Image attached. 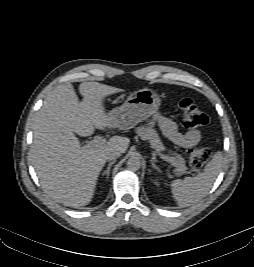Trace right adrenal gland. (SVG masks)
<instances>
[{
  "label": "right adrenal gland",
  "mask_w": 254,
  "mask_h": 267,
  "mask_svg": "<svg viewBox=\"0 0 254 267\" xmlns=\"http://www.w3.org/2000/svg\"><path fill=\"white\" fill-rule=\"evenodd\" d=\"M114 163H115V160L112 161V162H110V163L108 164L107 169L102 173V175H106V178H109V176H110V169H111V166H112Z\"/></svg>",
  "instance_id": "1"
}]
</instances>
